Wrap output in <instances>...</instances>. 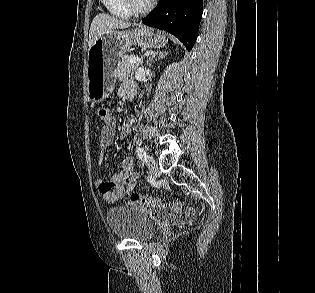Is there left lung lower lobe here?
<instances>
[{
    "instance_id": "0a47b994",
    "label": "left lung lower lobe",
    "mask_w": 315,
    "mask_h": 293,
    "mask_svg": "<svg viewBox=\"0 0 315 293\" xmlns=\"http://www.w3.org/2000/svg\"><path fill=\"white\" fill-rule=\"evenodd\" d=\"M202 12L203 0H160L142 23L173 34L191 50L198 36Z\"/></svg>"
}]
</instances>
